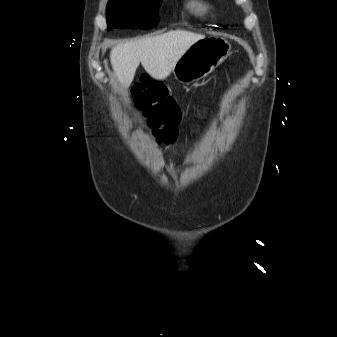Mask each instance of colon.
Listing matches in <instances>:
<instances>
[{
	"mask_svg": "<svg viewBox=\"0 0 337 337\" xmlns=\"http://www.w3.org/2000/svg\"><path fill=\"white\" fill-rule=\"evenodd\" d=\"M132 93L157 141L163 144L173 143L178 136L181 114L177 102L164 85L148 75H142L134 84Z\"/></svg>",
	"mask_w": 337,
	"mask_h": 337,
	"instance_id": "1",
	"label": "colon"
}]
</instances>
